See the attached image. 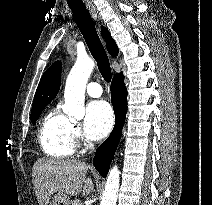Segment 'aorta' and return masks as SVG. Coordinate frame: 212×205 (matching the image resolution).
Wrapping results in <instances>:
<instances>
[{
	"label": "aorta",
	"mask_w": 212,
	"mask_h": 205,
	"mask_svg": "<svg viewBox=\"0 0 212 205\" xmlns=\"http://www.w3.org/2000/svg\"><path fill=\"white\" fill-rule=\"evenodd\" d=\"M94 61L88 57H78L71 69L65 85L63 111L72 117H82L84 113L85 88L93 69ZM120 182V171L114 165L107 176L105 190L100 205H116Z\"/></svg>",
	"instance_id": "obj_1"
}]
</instances>
